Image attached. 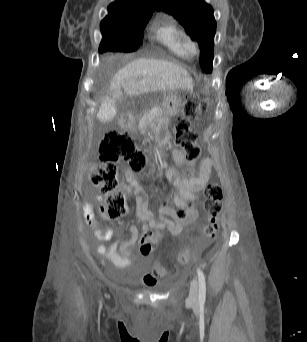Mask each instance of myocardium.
I'll return each mask as SVG.
<instances>
[{"mask_svg": "<svg viewBox=\"0 0 307 342\" xmlns=\"http://www.w3.org/2000/svg\"><path fill=\"white\" fill-rule=\"evenodd\" d=\"M192 48H193V50H196L197 46L194 44V45H192Z\"/></svg>", "mask_w": 307, "mask_h": 342, "instance_id": "f54148a6", "label": "myocardium"}]
</instances>
